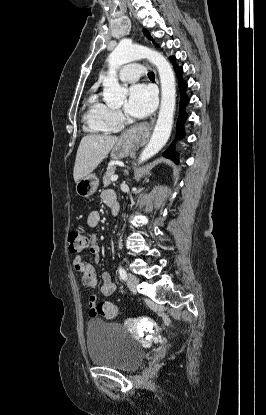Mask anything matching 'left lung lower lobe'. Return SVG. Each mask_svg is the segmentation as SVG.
I'll use <instances>...</instances> for the list:
<instances>
[{
  "label": "left lung lower lobe",
  "mask_w": 266,
  "mask_h": 415,
  "mask_svg": "<svg viewBox=\"0 0 266 415\" xmlns=\"http://www.w3.org/2000/svg\"><path fill=\"white\" fill-rule=\"evenodd\" d=\"M170 59L173 63L175 72L178 76L179 89H180V92L182 94L181 101H180L181 116H180V119H179L177 127H176L177 137L181 139L185 135L184 128H183V123L187 118V114H186V111H185V106L188 104V101H189V98L184 94V91L187 88V82L184 81L181 78L182 73H183V68L178 66L175 63L176 58L175 57H170ZM173 148H174V143H172L170 145V147L163 153V155L167 158L172 159L176 163H178V157H177L176 153L173 151Z\"/></svg>",
  "instance_id": "1"
}]
</instances>
